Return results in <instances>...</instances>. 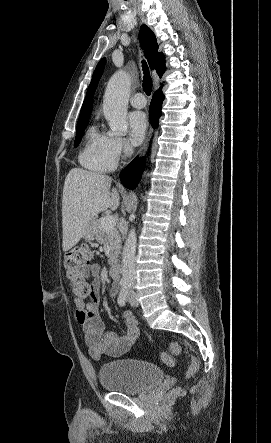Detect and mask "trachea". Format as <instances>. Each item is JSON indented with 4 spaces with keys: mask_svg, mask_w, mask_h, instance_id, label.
Returning a JSON list of instances; mask_svg holds the SVG:
<instances>
[{
    "mask_svg": "<svg viewBox=\"0 0 271 443\" xmlns=\"http://www.w3.org/2000/svg\"><path fill=\"white\" fill-rule=\"evenodd\" d=\"M144 77H143V90L147 95L151 94L152 91V80L150 78V73L147 67L146 62H142Z\"/></svg>",
    "mask_w": 271,
    "mask_h": 443,
    "instance_id": "3493384b",
    "label": "trachea"
}]
</instances>
